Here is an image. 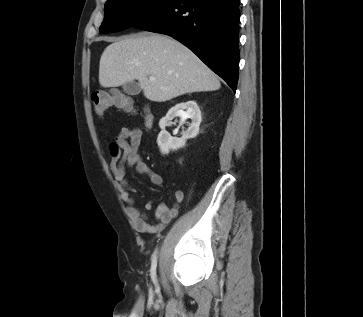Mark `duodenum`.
<instances>
[{
	"mask_svg": "<svg viewBox=\"0 0 363 317\" xmlns=\"http://www.w3.org/2000/svg\"><path fill=\"white\" fill-rule=\"evenodd\" d=\"M153 123V116L150 113H147L146 115V125L151 126Z\"/></svg>",
	"mask_w": 363,
	"mask_h": 317,
	"instance_id": "1",
	"label": "duodenum"
}]
</instances>
